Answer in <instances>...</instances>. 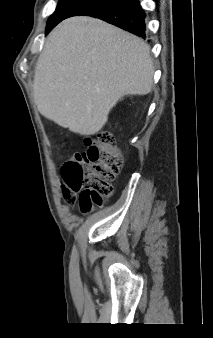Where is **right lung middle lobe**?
I'll return each mask as SVG.
<instances>
[{
    "label": "right lung middle lobe",
    "mask_w": 213,
    "mask_h": 338,
    "mask_svg": "<svg viewBox=\"0 0 213 338\" xmlns=\"http://www.w3.org/2000/svg\"><path fill=\"white\" fill-rule=\"evenodd\" d=\"M92 0H60L55 12L49 17L46 27V34L59 22L68 18L80 6L91 2Z\"/></svg>",
    "instance_id": "obj_1"
}]
</instances>
